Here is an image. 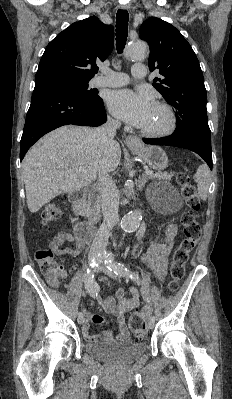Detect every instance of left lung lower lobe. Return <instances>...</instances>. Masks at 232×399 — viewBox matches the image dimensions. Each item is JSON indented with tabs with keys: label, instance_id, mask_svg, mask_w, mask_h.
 I'll return each mask as SVG.
<instances>
[{
	"label": "left lung lower lobe",
	"instance_id": "1",
	"mask_svg": "<svg viewBox=\"0 0 232 399\" xmlns=\"http://www.w3.org/2000/svg\"><path fill=\"white\" fill-rule=\"evenodd\" d=\"M143 141L146 144L176 146L194 151L199 154L212 169L211 144H206L195 138L175 135L174 133L170 136L159 139L144 138Z\"/></svg>",
	"mask_w": 232,
	"mask_h": 399
}]
</instances>
